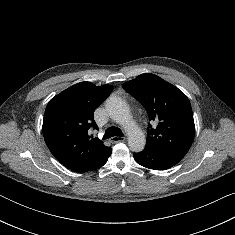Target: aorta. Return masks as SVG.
Instances as JSON below:
<instances>
[{
  "label": "aorta",
  "mask_w": 235,
  "mask_h": 235,
  "mask_svg": "<svg viewBox=\"0 0 235 235\" xmlns=\"http://www.w3.org/2000/svg\"><path fill=\"white\" fill-rule=\"evenodd\" d=\"M105 108L110 118L125 129L130 150L133 152L142 151L146 143L145 135L132 120L126 102L119 97L111 96L106 100Z\"/></svg>",
  "instance_id": "aorta-1"
}]
</instances>
